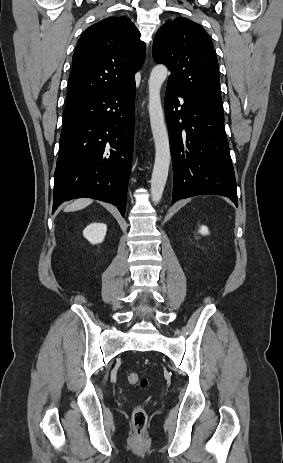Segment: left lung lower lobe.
Returning a JSON list of instances; mask_svg holds the SVG:
<instances>
[{
	"mask_svg": "<svg viewBox=\"0 0 283 463\" xmlns=\"http://www.w3.org/2000/svg\"><path fill=\"white\" fill-rule=\"evenodd\" d=\"M164 111L173 157L171 204L182 198L213 194L226 196L237 206L224 116L202 107L171 83L167 85Z\"/></svg>",
	"mask_w": 283,
	"mask_h": 463,
	"instance_id": "1",
	"label": "left lung lower lobe"
}]
</instances>
